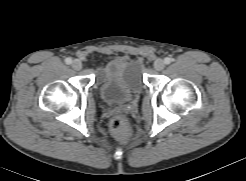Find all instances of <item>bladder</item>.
I'll return each instance as SVG.
<instances>
[{"label":"bladder","mask_w":246,"mask_h":181,"mask_svg":"<svg viewBox=\"0 0 246 181\" xmlns=\"http://www.w3.org/2000/svg\"><path fill=\"white\" fill-rule=\"evenodd\" d=\"M97 81L101 97L105 102H123L141 89V69L135 62L114 59L100 68Z\"/></svg>","instance_id":"1"}]
</instances>
